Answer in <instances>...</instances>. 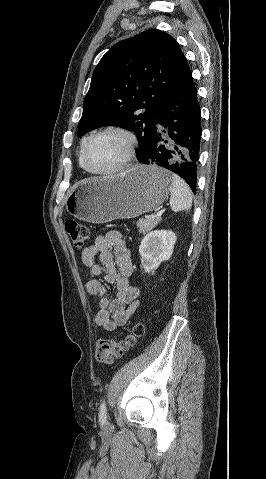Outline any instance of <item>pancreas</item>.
<instances>
[{"label":"pancreas","mask_w":266,"mask_h":479,"mask_svg":"<svg viewBox=\"0 0 266 479\" xmlns=\"http://www.w3.org/2000/svg\"><path fill=\"white\" fill-rule=\"evenodd\" d=\"M161 222L160 217L155 218H141L137 221L139 233L146 234L148 231L155 228Z\"/></svg>","instance_id":"obj_1"}]
</instances>
